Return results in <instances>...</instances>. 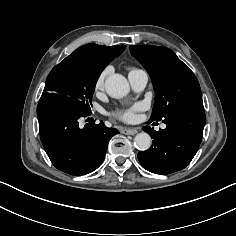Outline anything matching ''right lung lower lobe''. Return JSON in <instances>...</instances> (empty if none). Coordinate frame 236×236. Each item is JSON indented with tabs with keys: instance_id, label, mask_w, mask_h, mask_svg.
Wrapping results in <instances>:
<instances>
[{
	"instance_id": "1",
	"label": "right lung lower lobe",
	"mask_w": 236,
	"mask_h": 236,
	"mask_svg": "<svg viewBox=\"0 0 236 236\" xmlns=\"http://www.w3.org/2000/svg\"><path fill=\"white\" fill-rule=\"evenodd\" d=\"M91 114L81 111L64 95L42 94L37 116L40 138L52 164L70 175H84L104 160L108 142L119 131L101 121L79 127L78 119Z\"/></svg>"
}]
</instances>
